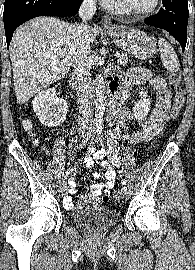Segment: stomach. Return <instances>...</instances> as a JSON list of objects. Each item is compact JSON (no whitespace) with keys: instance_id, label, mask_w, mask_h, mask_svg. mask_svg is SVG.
I'll return each mask as SVG.
<instances>
[{"instance_id":"1","label":"stomach","mask_w":195,"mask_h":270,"mask_svg":"<svg viewBox=\"0 0 195 270\" xmlns=\"http://www.w3.org/2000/svg\"><path fill=\"white\" fill-rule=\"evenodd\" d=\"M107 32L114 37L120 48L140 59L150 58L156 53L155 41L144 31L137 28L117 27Z\"/></svg>"}]
</instances>
